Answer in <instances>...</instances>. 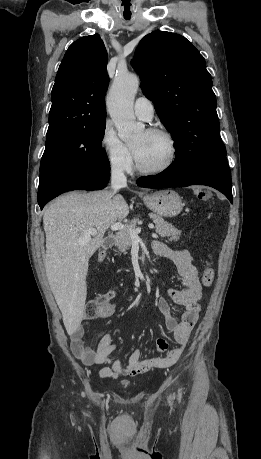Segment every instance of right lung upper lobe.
Segmentation results:
<instances>
[{"label":"right lung upper lobe","mask_w":261,"mask_h":459,"mask_svg":"<svg viewBox=\"0 0 261 459\" xmlns=\"http://www.w3.org/2000/svg\"><path fill=\"white\" fill-rule=\"evenodd\" d=\"M107 52L99 35L70 45L56 75L47 134L106 121Z\"/></svg>","instance_id":"1"}]
</instances>
